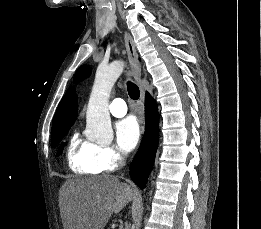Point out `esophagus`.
Returning <instances> with one entry per match:
<instances>
[{
	"label": "esophagus",
	"instance_id": "1",
	"mask_svg": "<svg viewBox=\"0 0 261 229\" xmlns=\"http://www.w3.org/2000/svg\"><path fill=\"white\" fill-rule=\"evenodd\" d=\"M124 43L127 51L128 60L131 67V74L139 84L140 100L144 101V88L141 83V66L138 59L137 50L132 36L128 32H124Z\"/></svg>",
	"mask_w": 261,
	"mask_h": 229
}]
</instances>
